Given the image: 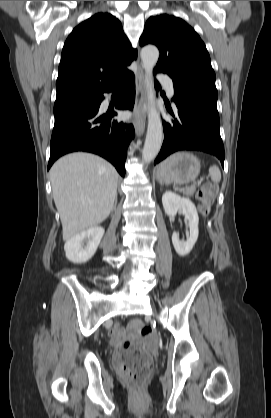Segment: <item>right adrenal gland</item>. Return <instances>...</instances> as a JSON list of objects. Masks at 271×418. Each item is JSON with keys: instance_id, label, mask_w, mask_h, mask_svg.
Masks as SVG:
<instances>
[{"instance_id": "1", "label": "right adrenal gland", "mask_w": 271, "mask_h": 418, "mask_svg": "<svg viewBox=\"0 0 271 418\" xmlns=\"http://www.w3.org/2000/svg\"><path fill=\"white\" fill-rule=\"evenodd\" d=\"M116 204H117V199H116V202H115V207H116Z\"/></svg>"}]
</instances>
